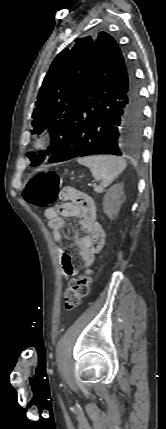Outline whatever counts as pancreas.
<instances>
[{
    "instance_id": "pancreas-1",
    "label": "pancreas",
    "mask_w": 166,
    "mask_h": 429,
    "mask_svg": "<svg viewBox=\"0 0 166 429\" xmlns=\"http://www.w3.org/2000/svg\"><path fill=\"white\" fill-rule=\"evenodd\" d=\"M102 191L101 187H95V192L100 193Z\"/></svg>"
}]
</instances>
